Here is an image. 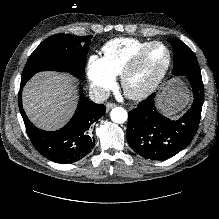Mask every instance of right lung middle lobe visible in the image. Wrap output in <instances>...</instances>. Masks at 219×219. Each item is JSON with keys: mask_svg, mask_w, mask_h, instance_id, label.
I'll return each mask as SVG.
<instances>
[{"mask_svg": "<svg viewBox=\"0 0 219 219\" xmlns=\"http://www.w3.org/2000/svg\"><path fill=\"white\" fill-rule=\"evenodd\" d=\"M90 36L56 34L42 42L30 55L24 67L21 84L35 73L46 70L65 71L83 79Z\"/></svg>", "mask_w": 219, "mask_h": 219, "instance_id": "1", "label": "right lung middle lobe"}]
</instances>
